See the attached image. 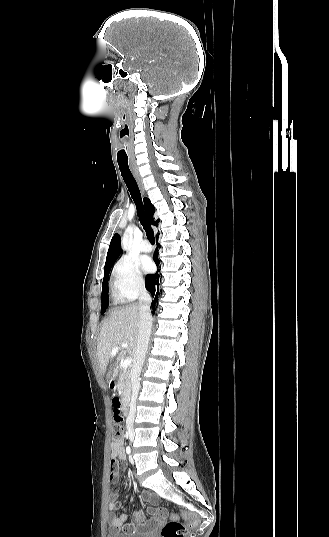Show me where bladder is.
Listing matches in <instances>:
<instances>
[{
  "mask_svg": "<svg viewBox=\"0 0 329 537\" xmlns=\"http://www.w3.org/2000/svg\"><path fill=\"white\" fill-rule=\"evenodd\" d=\"M107 537H153V536L150 533L131 534V533H124V532L115 531V530H109L107 532Z\"/></svg>",
  "mask_w": 329,
  "mask_h": 537,
  "instance_id": "obj_1",
  "label": "bladder"
}]
</instances>
